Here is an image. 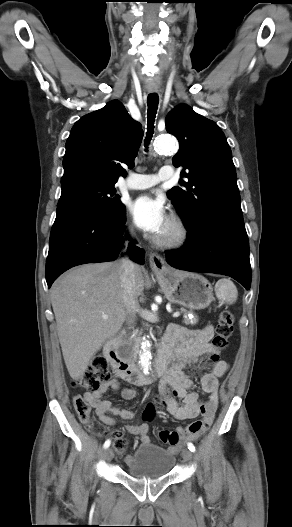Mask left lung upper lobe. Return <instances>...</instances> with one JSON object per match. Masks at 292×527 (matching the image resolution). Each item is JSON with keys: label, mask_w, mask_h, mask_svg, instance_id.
Listing matches in <instances>:
<instances>
[{"label": "left lung upper lobe", "mask_w": 292, "mask_h": 527, "mask_svg": "<svg viewBox=\"0 0 292 527\" xmlns=\"http://www.w3.org/2000/svg\"><path fill=\"white\" fill-rule=\"evenodd\" d=\"M165 123L180 143L173 164L184 167L186 178L167 195L186 229L221 219L243 221L232 153L220 127L187 105L169 112Z\"/></svg>", "instance_id": "5c2ea615"}]
</instances>
